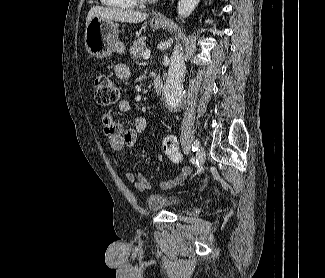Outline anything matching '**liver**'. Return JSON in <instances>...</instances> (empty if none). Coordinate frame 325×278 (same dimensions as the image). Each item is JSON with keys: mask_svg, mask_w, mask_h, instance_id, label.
Segmentation results:
<instances>
[{"mask_svg": "<svg viewBox=\"0 0 325 278\" xmlns=\"http://www.w3.org/2000/svg\"><path fill=\"white\" fill-rule=\"evenodd\" d=\"M93 17H101L106 20L136 24L146 20L148 14L130 9L93 6L87 15L86 26Z\"/></svg>", "mask_w": 325, "mask_h": 278, "instance_id": "obj_1", "label": "liver"}]
</instances>
